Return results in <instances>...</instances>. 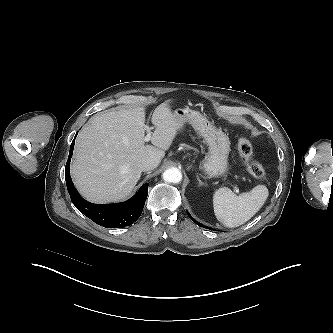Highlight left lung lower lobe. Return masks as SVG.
<instances>
[{
    "label": "left lung lower lobe",
    "instance_id": "0a47b994",
    "mask_svg": "<svg viewBox=\"0 0 333 333\" xmlns=\"http://www.w3.org/2000/svg\"><path fill=\"white\" fill-rule=\"evenodd\" d=\"M189 217L192 219V221L194 222V223H196L197 225H199V226H201V227H204V228H208V227H206V226H203V225H201L199 222H197L195 219H193L190 215H189ZM208 229H211L212 230V228H208Z\"/></svg>",
    "mask_w": 333,
    "mask_h": 333
}]
</instances>
